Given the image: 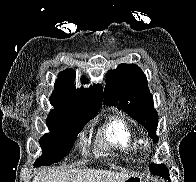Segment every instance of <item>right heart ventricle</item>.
I'll use <instances>...</instances> for the list:
<instances>
[{"instance_id": "right-heart-ventricle-1", "label": "right heart ventricle", "mask_w": 196, "mask_h": 182, "mask_svg": "<svg viewBox=\"0 0 196 182\" xmlns=\"http://www.w3.org/2000/svg\"><path fill=\"white\" fill-rule=\"evenodd\" d=\"M101 137L106 145L123 150H139L141 141L133 126L121 116H112L102 127Z\"/></svg>"}]
</instances>
